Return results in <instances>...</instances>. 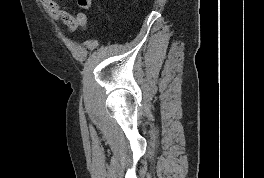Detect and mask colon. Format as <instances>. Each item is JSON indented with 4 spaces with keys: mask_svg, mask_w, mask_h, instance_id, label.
Segmentation results:
<instances>
[{
    "mask_svg": "<svg viewBox=\"0 0 264 178\" xmlns=\"http://www.w3.org/2000/svg\"><path fill=\"white\" fill-rule=\"evenodd\" d=\"M79 8L83 12H87L91 8V0H77Z\"/></svg>",
    "mask_w": 264,
    "mask_h": 178,
    "instance_id": "1",
    "label": "colon"
}]
</instances>
